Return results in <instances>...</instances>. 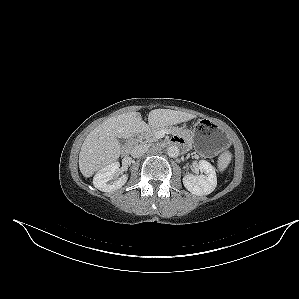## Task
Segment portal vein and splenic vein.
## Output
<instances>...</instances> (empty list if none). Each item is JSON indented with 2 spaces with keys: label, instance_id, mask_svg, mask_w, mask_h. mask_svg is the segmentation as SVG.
<instances>
[{
  "label": "portal vein and splenic vein",
  "instance_id": "18ae733b",
  "mask_svg": "<svg viewBox=\"0 0 299 299\" xmlns=\"http://www.w3.org/2000/svg\"><path fill=\"white\" fill-rule=\"evenodd\" d=\"M166 134L165 130H161L158 132V137H163Z\"/></svg>",
  "mask_w": 299,
  "mask_h": 299
}]
</instances>
